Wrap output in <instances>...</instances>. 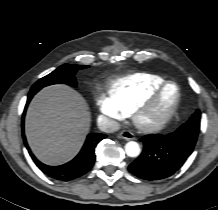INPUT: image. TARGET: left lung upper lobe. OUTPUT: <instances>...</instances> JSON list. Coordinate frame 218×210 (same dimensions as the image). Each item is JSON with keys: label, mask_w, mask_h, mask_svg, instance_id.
Segmentation results:
<instances>
[{"label": "left lung upper lobe", "mask_w": 218, "mask_h": 210, "mask_svg": "<svg viewBox=\"0 0 218 210\" xmlns=\"http://www.w3.org/2000/svg\"><path fill=\"white\" fill-rule=\"evenodd\" d=\"M200 111L196 110V112L191 116V118L183 124L180 128L182 131H184V135L186 136H192L191 139L196 140L199 129H200Z\"/></svg>", "instance_id": "obj_1"}]
</instances>
